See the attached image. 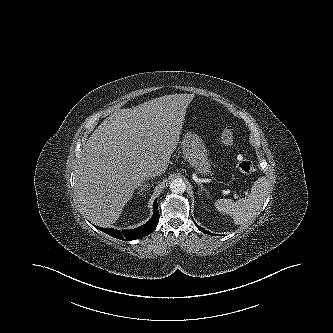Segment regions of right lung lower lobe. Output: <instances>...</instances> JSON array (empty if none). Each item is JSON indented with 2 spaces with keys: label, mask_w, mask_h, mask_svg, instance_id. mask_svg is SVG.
Wrapping results in <instances>:
<instances>
[{
  "label": "right lung lower lobe",
  "mask_w": 333,
  "mask_h": 333,
  "mask_svg": "<svg viewBox=\"0 0 333 333\" xmlns=\"http://www.w3.org/2000/svg\"><path fill=\"white\" fill-rule=\"evenodd\" d=\"M159 222V212H158V207H157V201H154V214L152 218L144 225L131 229V230H123L119 232L118 230L115 229H106V228H100L103 232L106 234L121 239V240H134L138 239L141 237H144L148 234H150L157 226Z\"/></svg>",
  "instance_id": "98d812e1"
}]
</instances>
